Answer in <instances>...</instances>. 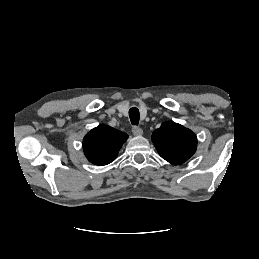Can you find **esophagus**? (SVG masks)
Wrapping results in <instances>:
<instances>
[{
	"mask_svg": "<svg viewBox=\"0 0 259 259\" xmlns=\"http://www.w3.org/2000/svg\"><path fill=\"white\" fill-rule=\"evenodd\" d=\"M132 132L135 136H142L143 131L140 127L134 126Z\"/></svg>",
	"mask_w": 259,
	"mask_h": 259,
	"instance_id": "34e87169",
	"label": "esophagus"
}]
</instances>
